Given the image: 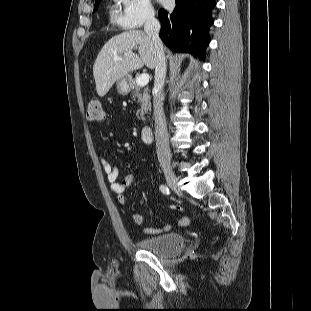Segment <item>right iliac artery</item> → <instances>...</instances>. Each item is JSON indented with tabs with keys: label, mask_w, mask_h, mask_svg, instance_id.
<instances>
[{
	"label": "right iliac artery",
	"mask_w": 311,
	"mask_h": 311,
	"mask_svg": "<svg viewBox=\"0 0 311 311\" xmlns=\"http://www.w3.org/2000/svg\"><path fill=\"white\" fill-rule=\"evenodd\" d=\"M160 190L163 194H170L169 188L166 185H161Z\"/></svg>",
	"instance_id": "obj_1"
}]
</instances>
